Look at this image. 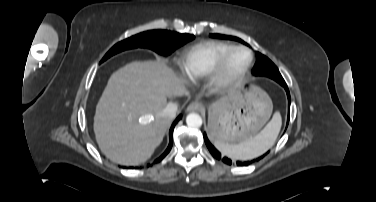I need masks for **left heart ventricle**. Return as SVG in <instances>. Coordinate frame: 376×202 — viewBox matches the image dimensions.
I'll use <instances>...</instances> for the list:
<instances>
[{
    "label": "left heart ventricle",
    "mask_w": 376,
    "mask_h": 202,
    "mask_svg": "<svg viewBox=\"0 0 376 202\" xmlns=\"http://www.w3.org/2000/svg\"><path fill=\"white\" fill-rule=\"evenodd\" d=\"M249 56L246 52L234 53L227 62L226 72L230 75L238 73L247 63Z\"/></svg>",
    "instance_id": "obj_1"
}]
</instances>
